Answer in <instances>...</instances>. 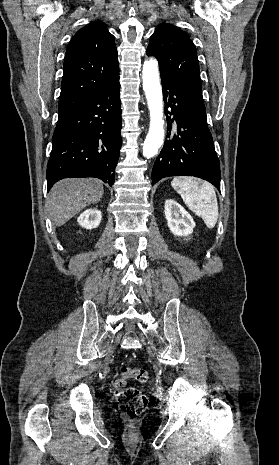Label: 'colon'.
<instances>
[{"label": "colon", "instance_id": "5ec220e1", "mask_svg": "<svg viewBox=\"0 0 279 465\" xmlns=\"http://www.w3.org/2000/svg\"><path fill=\"white\" fill-rule=\"evenodd\" d=\"M128 379H135L138 382H146L148 373L140 367H130L122 365L120 376L115 380V395L119 403L121 413L130 421L138 418L147 407V398L143 392L127 384Z\"/></svg>", "mask_w": 279, "mask_h": 465}]
</instances>
